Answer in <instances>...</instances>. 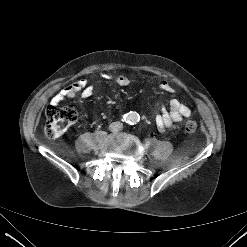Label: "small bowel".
Returning a JSON list of instances; mask_svg holds the SVG:
<instances>
[{
    "label": "small bowel",
    "instance_id": "1",
    "mask_svg": "<svg viewBox=\"0 0 247 247\" xmlns=\"http://www.w3.org/2000/svg\"><path fill=\"white\" fill-rule=\"evenodd\" d=\"M102 77L106 80L114 81L118 86L126 87L130 84V79L125 75H110L107 73L102 74ZM162 91L172 93L174 88L169 82L162 80L158 84ZM79 92L82 93L83 97H89L92 95L93 88L87 85L86 80L81 79L77 82L70 84L63 88L59 93H57L51 100L52 103L58 104L59 102L75 97ZM191 115L190 108L181 103L177 99H172L168 106L162 107V111L156 116L155 122L160 130L171 127L173 123L180 122L184 118H188Z\"/></svg>",
    "mask_w": 247,
    "mask_h": 247
}]
</instances>
